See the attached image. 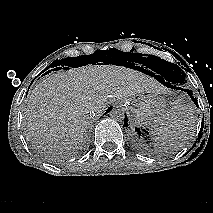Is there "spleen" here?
I'll return each instance as SVG.
<instances>
[{
    "mask_svg": "<svg viewBox=\"0 0 213 213\" xmlns=\"http://www.w3.org/2000/svg\"><path fill=\"white\" fill-rule=\"evenodd\" d=\"M157 121L158 126L151 131L155 145L166 150L181 147L193 129V105L190 102L176 103Z\"/></svg>",
    "mask_w": 213,
    "mask_h": 213,
    "instance_id": "obj_1",
    "label": "spleen"
}]
</instances>
